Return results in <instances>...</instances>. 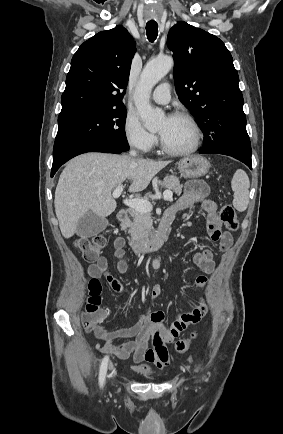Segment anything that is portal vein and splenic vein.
<instances>
[{
  "instance_id": "18ae733b",
  "label": "portal vein and splenic vein",
  "mask_w": 283,
  "mask_h": 434,
  "mask_svg": "<svg viewBox=\"0 0 283 434\" xmlns=\"http://www.w3.org/2000/svg\"><path fill=\"white\" fill-rule=\"evenodd\" d=\"M123 191V186L119 185L115 188V190L113 191V197L114 198H118L121 193ZM173 193L170 190H166L163 193V198L166 201H172L173 198ZM124 204L126 206H128L131 209L137 210L139 212H151L152 210V204L144 199H139V198H133V199H125Z\"/></svg>"
}]
</instances>
